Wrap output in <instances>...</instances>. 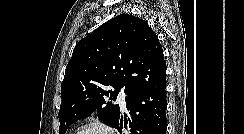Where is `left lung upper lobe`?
<instances>
[{
  "label": "left lung upper lobe",
  "instance_id": "5c2ea615",
  "mask_svg": "<svg viewBox=\"0 0 244 134\" xmlns=\"http://www.w3.org/2000/svg\"><path fill=\"white\" fill-rule=\"evenodd\" d=\"M165 84L166 62L156 33L145 20L120 14L74 48L61 85L60 134L95 111L100 120L113 126L120 108L105 97L116 100L123 87L128 96ZM108 86L114 90H107Z\"/></svg>",
  "mask_w": 244,
  "mask_h": 134
}]
</instances>
